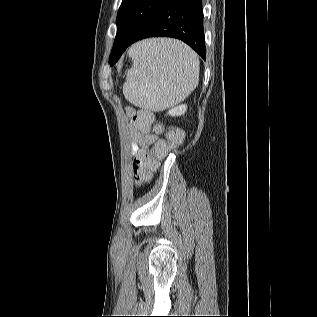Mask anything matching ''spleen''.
I'll use <instances>...</instances> for the list:
<instances>
[{"label": "spleen", "mask_w": 317, "mask_h": 317, "mask_svg": "<svg viewBox=\"0 0 317 317\" xmlns=\"http://www.w3.org/2000/svg\"><path fill=\"white\" fill-rule=\"evenodd\" d=\"M133 65L123 85L135 106L162 111L186 99L199 81V59L186 44L173 39H147L128 51Z\"/></svg>", "instance_id": "obj_1"}]
</instances>
